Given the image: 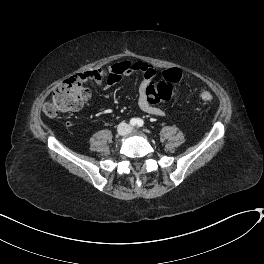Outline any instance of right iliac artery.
I'll return each instance as SVG.
<instances>
[{"label":"right iliac artery","instance_id":"82829eb1","mask_svg":"<svg viewBox=\"0 0 264 264\" xmlns=\"http://www.w3.org/2000/svg\"><path fill=\"white\" fill-rule=\"evenodd\" d=\"M130 125H131V126H136V125H137V119H136V118H132V119L130 120Z\"/></svg>","mask_w":264,"mask_h":264}]
</instances>
